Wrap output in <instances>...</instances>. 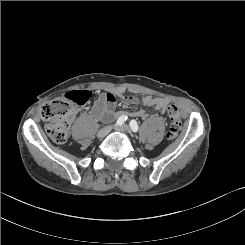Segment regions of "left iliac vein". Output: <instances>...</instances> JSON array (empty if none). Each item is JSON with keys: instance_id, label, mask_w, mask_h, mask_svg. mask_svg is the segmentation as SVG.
I'll list each match as a JSON object with an SVG mask.
<instances>
[{"instance_id": "obj_1", "label": "left iliac vein", "mask_w": 245, "mask_h": 245, "mask_svg": "<svg viewBox=\"0 0 245 245\" xmlns=\"http://www.w3.org/2000/svg\"><path fill=\"white\" fill-rule=\"evenodd\" d=\"M117 130L121 131V132H128L130 131V128L128 125L124 124V125H121L119 127L116 128Z\"/></svg>"}]
</instances>
